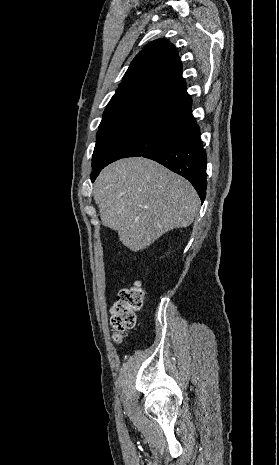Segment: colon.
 I'll use <instances>...</instances> for the list:
<instances>
[{
	"label": "colon",
	"instance_id": "obj_1",
	"mask_svg": "<svg viewBox=\"0 0 279 465\" xmlns=\"http://www.w3.org/2000/svg\"><path fill=\"white\" fill-rule=\"evenodd\" d=\"M145 287L140 282L119 291L111 308V325L114 340L120 342L122 333L134 328L136 314L143 308Z\"/></svg>",
	"mask_w": 279,
	"mask_h": 465
}]
</instances>
